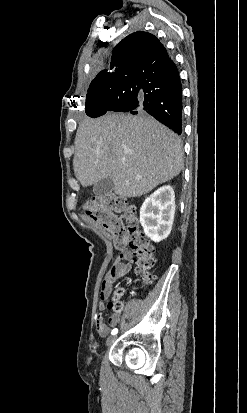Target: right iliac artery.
Returning a JSON list of instances; mask_svg holds the SVG:
<instances>
[{"label": "right iliac artery", "mask_w": 247, "mask_h": 413, "mask_svg": "<svg viewBox=\"0 0 247 413\" xmlns=\"http://www.w3.org/2000/svg\"><path fill=\"white\" fill-rule=\"evenodd\" d=\"M117 333H118V329H117V328L113 329L112 332H111L112 335H115V334H117Z\"/></svg>", "instance_id": "1"}]
</instances>
